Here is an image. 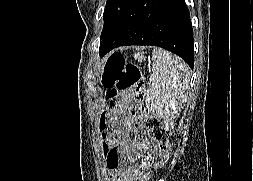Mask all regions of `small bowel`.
<instances>
[{
  "label": "small bowel",
  "mask_w": 253,
  "mask_h": 181,
  "mask_svg": "<svg viewBox=\"0 0 253 181\" xmlns=\"http://www.w3.org/2000/svg\"><path fill=\"white\" fill-rule=\"evenodd\" d=\"M133 96L121 93L107 118L109 130L103 137L102 151L110 174L116 181H147L151 176L150 167L158 151L152 140L130 123L129 129H123L120 121L126 114ZM132 131L135 140H127L125 135Z\"/></svg>",
  "instance_id": "1"
}]
</instances>
